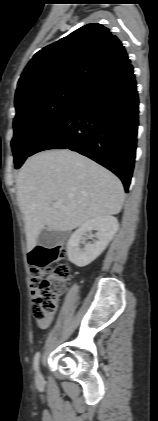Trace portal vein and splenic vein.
<instances>
[{
    "mask_svg": "<svg viewBox=\"0 0 158 421\" xmlns=\"http://www.w3.org/2000/svg\"><path fill=\"white\" fill-rule=\"evenodd\" d=\"M52 206H53L54 208H64L60 202H54V203L52 204Z\"/></svg>",
    "mask_w": 158,
    "mask_h": 421,
    "instance_id": "obj_1",
    "label": "portal vein and splenic vein"
}]
</instances>
